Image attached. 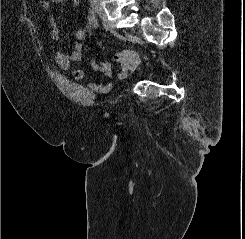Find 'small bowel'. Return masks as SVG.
<instances>
[{
  "mask_svg": "<svg viewBox=\"0 0 245 239\" xmlns=\"http://www.w3.org/2000/svg\"><path fill=\"white\" fill-rule=\"evenodd\" d=\"M66 0H42L41 7L44 10H50L54 5L64 3ZM87 25L84 29L76 31L73 33V51L67 53L59 51L56 53V61L61 69L68 70L71 65L75 62H78L81 59L82 52L85 49L86 45L82 39L92 37L94 30L97 27V21L93 13H89L87 17ZM52 35L53 40L58 41L59 39V29L56 23L52 20ZM114 61L119 64V68L116 73L113 72L111 65L106 63H101L96 60L91 62L93 70L97 72H102L106 82L98 83L91 81L88 83L87 87L97 93H108L112 89L111 79L115 78L119 81L126 79L128 71L130 68V59L125 51L117 50L113 57ZM72 77L75 81L79 82L84 79V72L81 69H74L72 71Z\"/></svg>",
  "mask_w": 245,
  "mask_h": 239,
  "instance_id": "obj_1",
  "label": "small bowel"
}]
</instances>
